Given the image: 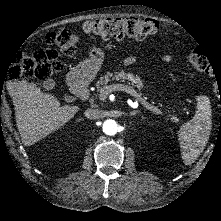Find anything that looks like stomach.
Wrapping results in <instances>:
<instances>
[{"instance_id":"1","label":"stomach","mask_w":221,"mask_h":221,"mask_svg":"<svg viewBox=\"0 0 221 221\" xmlns=\"http://www.w3.org/2000/svg\"><path fill=\"white\" fill-rule=\"evenodd\" d=\"M89 56L90 57L87 59V66L90 68L89 76L90 79H92L95 77L100 68L101 62L104 57V52L100 48L93 47L89 51Z\"/></svg>"}]
</instances>
